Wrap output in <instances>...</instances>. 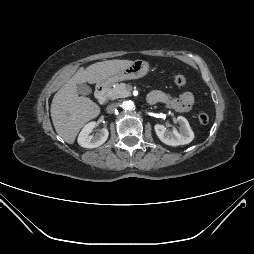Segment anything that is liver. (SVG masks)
Listing matches in <instances>:
<instances>
[{
  "label": "liver",
  "mask_w": 254,
  "mask_h": 254,
  "mask_svg": "<svg viewBox=\"0 0 254 254\" xmlns=\"http://www.w3.org/2000/svg\"><path fill=\"white\" fill-rule=\"evenodd\" d=\"M133 63L131 60H107L80 68L55 94L51 118L57 134L73 144L80 129L100 113V107L88 97L78 95L77 85L100 83Z\"/></svg>",
  "instance_id": "obj_1"
}]
</instances>
